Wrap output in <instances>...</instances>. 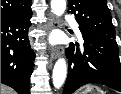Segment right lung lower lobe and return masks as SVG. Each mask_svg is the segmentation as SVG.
Here are the masks:
<instances>
[{
	"label": "right lung lower lobe",
	"mask_w": 121,
	"mask_h": 94,
	"mask_svg": "<svg viewBox=\"0 0 121 94\" xmlns=\"http://www.w3.org/2000/svg\"><path fill=\"white\" fill-rule=\"evenodd\" d=\"M32 10L1 18V83L30 94L35 54L28 39Z\"/></svg>",
	"instance_id": "right-lung-lower-lobe-1"
}]
</instances>
